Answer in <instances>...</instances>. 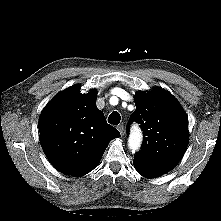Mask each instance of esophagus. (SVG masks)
Instances as JSON below:
<instances>
[{"instance_id":"obj_1","label":"esophagus","mask_w":221,"mask_h":221,"mask_svg":"<svg viewBox=\"0 0 221 221\" xmlns=\"http://www.w3.org/2000/svg\"><path fill=\"white\" fill-rule=\"evenodd\" d=\"M117 129L119 130L121 136H123L124 133H125L124 126L122 124H120V125L117 126Z\"/></svg>"}]
</instances>
